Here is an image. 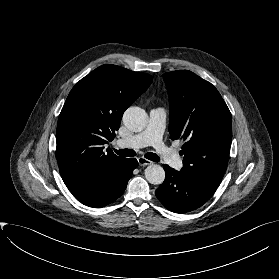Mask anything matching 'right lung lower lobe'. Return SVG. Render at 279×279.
Here are the masks:
<instances>
[{
	"mask_svg": "<svg viewBox=\"0 0 279 279\" xmlns=\"http://www.w3.org/2000/svg\"><path fill=\"white\" fill-rule=\"evenodd\" d=\"M137 166L138 162L136 159H126L117 171L93 186L90 190L80 195H75V198L84 205L93 208H101L112 203L122 195L132 176L133 170Z\"/></svg>",
	"mask_w": 279,
	"mask_h": 279,
	"instance_id": "obj_1",
	"label": "right lung lower lobe"
}]
</instances>
